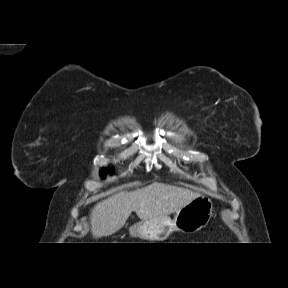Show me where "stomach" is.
Instances as JSON below:
<instances>
[{"mask_svg": "<svg viewBox=\"0 0 288 288\" xmlns=\"http://www.w3.org/2000/svg\"><path fill=\"white\" fill-rule=\"evenodd\" d=\"M213 212V204L209 197L198 195L187 205L178 209L174 218L157 217L141 221L130 227V235L147 241H163L173 232L192 233L204 228Z\"/></svg>", "mask_w": 288, "mask_h": 288, "instance_id": "0dacf381", "label": "stomach"}]
</instances>
